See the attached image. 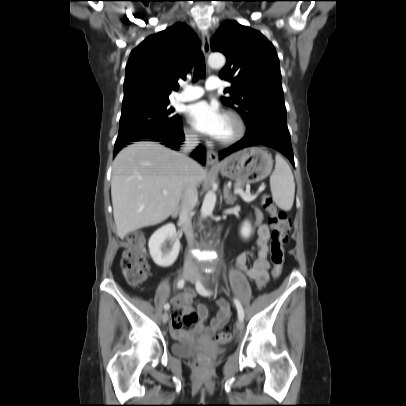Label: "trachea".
<instances>
[{"instance_id":"3493384b","label":"trachea","mask_w":406,"mask_h":406,"mask_svg":"<svg viewBox=\"0 0 406 406\" xmlns=\"http://www.w3.org/2000/svg\"><path fill=\"white\" fill-rule=\"evenodd\" d=\"M205 77V59L203 53H198L195 59V69L193 75V81L196 82L200 78Z\"/></svg>"}]
</instances>
